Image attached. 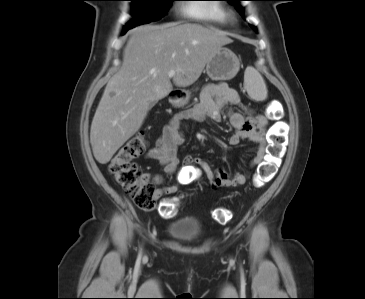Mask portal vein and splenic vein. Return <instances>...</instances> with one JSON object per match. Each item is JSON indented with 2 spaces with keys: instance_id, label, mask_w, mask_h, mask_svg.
Listing matches in <instances>:
<instances>
[{
  "instance_id": "portal-vein-and-splenic-vein-1",
  "label": "portal vein and splenic vein",
  "mask_w": 365,
  "mask_h": 299,
  "mask_svg": "<svg viewBox=\"0 0 365 299\" xmlns=\"http://www.w3.org/2000/svg\"><path fill=\"white\" fill-rule=\"evenodd\" d=\"M175 74H176V71H175V70H171V71H169V73H168V77H169V78H172V77H174V76H175Z\"/></svg>"
}]
</instances>
